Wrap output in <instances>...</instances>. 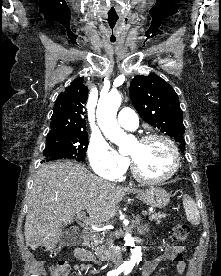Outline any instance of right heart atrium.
Here are the masks:
<instances>
[{
	"instance_id": "right-heart-atrium-1",
	"label": "right heart atrium",
	"mask_w": 221,
	"mask_h": 276,
	"mask_svg": "<svg viewBox=\"0 0 221 276\" xmlns=\"http://www.w3.org/2000/svg\"><path fill=\"white\" fill-rule=\"evenodd\" d=\"M88 160L92 170L108 180H118L128 167L127 158L120 155L104 138H91Z\"/></svg>"
}]
</instances>
